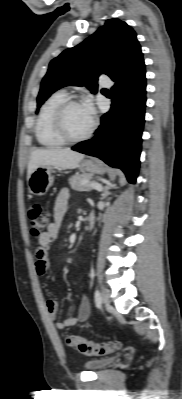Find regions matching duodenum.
Here are the masks:
<instances>
[{"mask_svg": "<svg viewBox=\"0 0 182 399\" xmlns=\"http://www.w3.org/2000/svg\"><path fill=\"white\" fill-rule=\"evenodd\" d=\"M95 221H96L95 214L93 212H90L88 214V217H87V227H88V229H92V227L95 224Z\"/></svg>", "mask_w": 182, "mask_h": 399, "instance_id": "obj_1", "label": "duodenum"}]
</instances>
